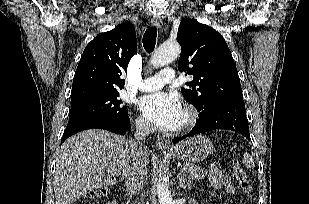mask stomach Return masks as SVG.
<instances>
[{"mask_svg":"<svg viewBox=\"0 0 309 204\" xmlns=\"http://www.w3.org/2000/svg\"><path fill=\"white\" fill-rule=\"evenodd\" d=\"M214 150L213 143L205 136H193L164 153L176 159L198 162L206 159Z\"/></svg>","mask_w":309,"mask_h":204,"instance_id":"0dacf381","label":"stomach"}]
</instances>
